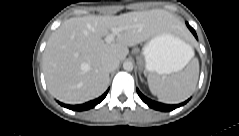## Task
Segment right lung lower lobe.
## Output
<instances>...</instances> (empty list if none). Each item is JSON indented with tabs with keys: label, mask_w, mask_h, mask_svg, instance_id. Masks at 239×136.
Returning <instances> with one entry per match:
<instances>
[{
	"label": "right lung lower lobe",
	"mask_w": 239,
	"mask_h": 136,
	"mask_svg": "<svg viewBox=\"0 0 239 136\" xmlns=\"http://www.w3.org/2000/svg\"><path fill=\"white\" fill-rule=\"evenodd\" d=\"M108 91H109V89L101 97H99L95 100L89 101L85 104L75 105V106L66 105V104H63L61 102H59V104L62 105L63 107H65V108H68V109H71V110H74V111L88 110V109H91V108L95 107L97 104H99L106 97Z\"/></svg>",
	"instance_id": "right-lung-lower-lobe-1"
}]
</instances>
